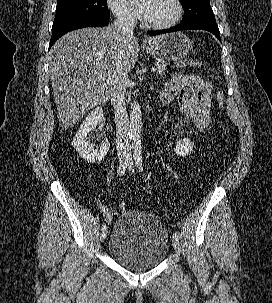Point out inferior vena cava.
I'll return each mask as SVG.
<instances>
[{"mask_svg": "<svg viewBox=\"0 0 272 303\" xmlns=\"http://www.w3.org/2000/svg\"><path fill=\"white\" fill-rule=\"evenodd\" d=\"M113 26L124 42L133 37L135 27L134 19L129 15H120L114 21ZM129 79L121 59L116 62V72L113 76V90L111 102L114 108L116 123L117 155L120 160L131 159V138L129 118L125 106V93Z\"/></svg>", "mask_w": 272, "mask_h": 303, "instance_id": "inferior-vena-cava-1", "label": "inferior vena cava"}]
</instances>
